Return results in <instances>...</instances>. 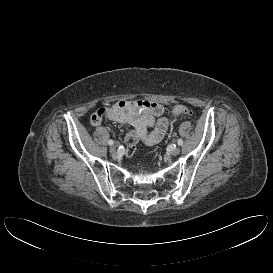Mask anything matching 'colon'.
<instances>
[{"label":"colon","instance_id":"5ec220e1","mask_svg":"<svg viewBox=\"0 0 273 273\" xmlns=\"http://www.w3.org/2000/svg\"><path fill=\"white\" fill-rule=\"evenodd\" d=\"M172 114L176 116L190 117L192 116L193 112L189 107L179 104V105H175L172 108Z\"/></svg>","mask_w":273,"mask_h":273}]
</instances>
